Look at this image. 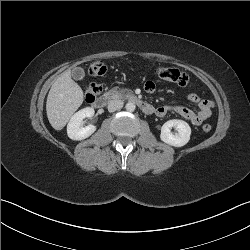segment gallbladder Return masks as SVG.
Wrapping results in <instances>:
<instances>
[{
    "instance_id": "bac80fb5",
    "label": "gallbladder",
    "mask_w": 250,
    "mask_h": 250,
    "mask_svg": "<svg viewBox=\"0 0 250 250\" xmlns=\"http://www.w3.org/2000/svg\"><path fill=\"white\" fill-rule=\"evenodd\" d=\"M84 70L81 67H76L72 70V77L75 80H82L84 78Z\"/></svg>"
}]
</instances>
